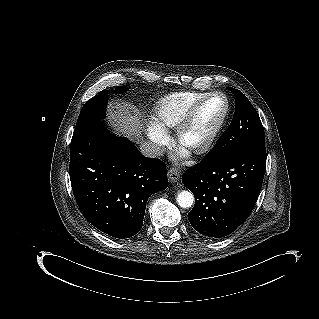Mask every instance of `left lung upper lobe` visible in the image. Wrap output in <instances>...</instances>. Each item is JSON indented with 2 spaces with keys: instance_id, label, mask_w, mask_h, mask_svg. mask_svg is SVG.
<instances>
[{
  "instance_id": "1",
  "label": "left lung upper lobe",
  "mask_w": 319,
  "mask_h": 319,
  "mask_svg": "<svg viewBox=\"0 0 319 319\" xmlns=\"http://www.w3.org/2000/svg\"><path fill=\"white\" fill-rule=\"evenodd\" d=\"M229 90L236 96L233 120L204 158L207 161H215L245 148L265 145L264 129L255 108L241 91Z\"/></svg>"
}]
</instances>
